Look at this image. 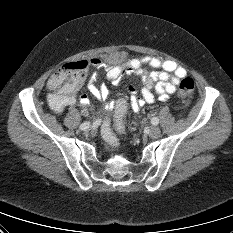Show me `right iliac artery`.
I'll use <instances>...</instances> for the list:
<instances>
[{
    "mask_svg": "<svg viewBox=\"0 0 233 233\" xmlns=\"http://www.w3.org/2000/svg\"><path fill=\"white\" fill-rule=\"evenodd\" d=\"M89 128V122H84L80 125V129L83 130V129H88Z\"/></svg>",
    "mask_w": 233,
    "mask_h": 233,
    "instance_id": "right-iliac-artery-1",
    "label": "right iliac artery"
}]
</instances>
